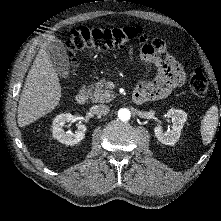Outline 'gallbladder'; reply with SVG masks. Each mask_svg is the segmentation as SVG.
Here are the masks:
<instances>
[{"label":"gallbladder","mask_w":221,"mask_h":221,"mask_svg":"<svg viewBox=\"0 0 221 221\" xmlns=\"http://www.w3.org/2000/svg\"><path fill=\"white\" fill-rule=\"evenodd\" d=\"M47 52L58 75L67 79L69 77L70 62L65 46L61 41L49 42Z\"/></svg>","instance_id":"1"}]
</instances>
